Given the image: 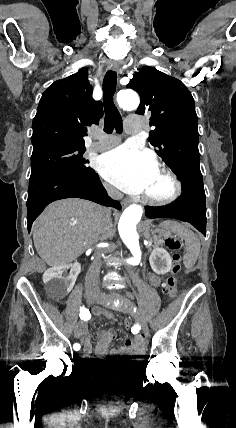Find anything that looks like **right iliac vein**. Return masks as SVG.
<instances>
[{
  "mask_svg": "<svg viewBox=\"0 0 236 428\" xmlns=\"http://www.w3.org/2000/svg\"><path fill=\"white\" fill-rule=\"evenodd\" d=\"M97 300L95 294H86L85 296V301L88 305H94V302ZM87 338L84 336L82 337L80 340V344H83V342L86 340Z\"/></svg>",
  "mask_w": 236,
  "mask_h": 428,
  "instance_id": "right-iliac-vein-1",
  "label": "right iliac vein"
}]
</instances>
